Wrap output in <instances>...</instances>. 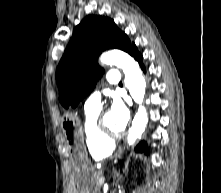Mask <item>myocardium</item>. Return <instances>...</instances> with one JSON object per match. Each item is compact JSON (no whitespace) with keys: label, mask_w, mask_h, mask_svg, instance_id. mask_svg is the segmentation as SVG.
<instances>
[{"label":"myocardium","mask_w":221,"mask_h":193,"mask_svg":"<svg viewBox=\"0 0 221 193\" xmlns=\"http://www.w3.org/2000/svg\"><path fill=\"white\" fill-rule=\"evenodd\" d=\"M105 113L106 111H103L100 114H98L97 122H96V129L104 141L113 143L114 140L120 138L122 134L121 132L112 133L105 127L104 120H103Z\"/></svg>","instance_id":"obj_1"}]
</instances>
